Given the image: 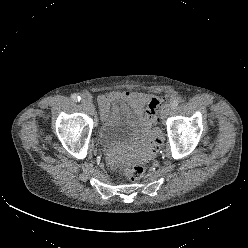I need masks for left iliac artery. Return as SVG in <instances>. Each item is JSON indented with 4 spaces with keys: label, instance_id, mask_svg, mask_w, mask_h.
I'll return each mask as SVG.
<instances>
[{
    "label": "left iliac artery",
    "instance_id": "left-iliac-artery-1",
    "mask_svg": "<svg viewBox=\"0 0 248 248\" xmlns=\"http://www.w3.org/2000/svg\"><path fill=\"white\" fill-rule=\"evenodd\" d=\"M180 103V98H174L172 101H171V107L175 108L179 105Z\"/></svg>",
    "mask_w": 248,
    "mask_h": 248
}]
</instances>
